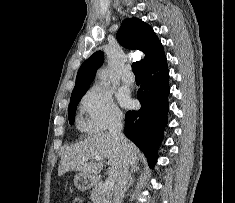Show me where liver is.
I'll return each mask as SVG.
<instances>
[{
	"mask_svg": "<svg viewBox=\"0 0 235 203\" xmlns=\"http://www.w3.org/2000/svg\"><path fill=\"white\" fill-rule=\"evenodd\" d=\"M128 151H124L121 143L110 132L94 134L76 144L67 147L61 155L58 175L61 176L69 171H79L92 175L96 178L103 168L101 161L96 157L108 159V175L114 184L118 181L124 161H128L134 170H137V161L140 157L139 149L129 142Z\"/></svg>",
	"mask_w": 235,
	"mask_h": 203,
	"instance_id": "liver-1",
	"label": "liver"
}]
</instances>
